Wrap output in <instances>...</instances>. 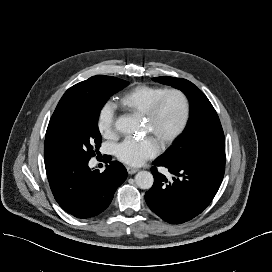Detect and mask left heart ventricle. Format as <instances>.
Listing matches in <instances>:
<instances>
[{"mask_svg": "<svg viewBox=\"0 0 272 272\" xmlns=\"http://www.w3.org/2000/svg\"><path fill=\"white\" fill-rule=\"evenodd\" d=\"M182 116V105L178 97L169 96L153 122L146 121V132L151 134L159 143L179 124Z\"/></svg>", "mask_w": 272, "mask_h": 272, "instance_id": "left-heart-ventricle-1", "label": "left heart ventricle"}]
</instances>
